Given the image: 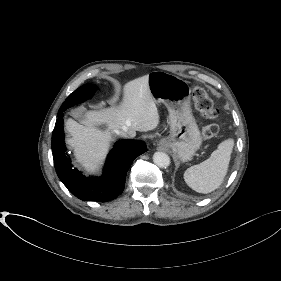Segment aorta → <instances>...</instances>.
Returning a JSON list of instances; mask_svg holds the SVG:
<instances>
[{"label":"aorta","instance_id":"762f6f07","mask_svg":"<svg viewBox=\"0 0 281 281\" xmlns=\"http://www.w3.org/2000/svg\"><path fill=\"white\" fill-rule=\"evenodd\" d=\"M153 162L160 168H167L170 165V157L164 152H156Z\"/></svg>","mask_w":281,"mask_h":281}]
</instances>
